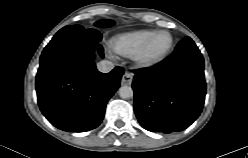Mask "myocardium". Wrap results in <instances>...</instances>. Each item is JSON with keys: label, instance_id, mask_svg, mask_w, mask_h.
<instances>
[{"label": "myocardium", "instance_id": "obj_1", "mask_svg": "<svg viewBox=\"0 0 248 158\" xmlns=\"http://www.w3.org/2000/svg\"><path fill=\"white\" fill-rule=\"evenodd\" d=\"M159 34H167L169 36V43L167 47L159 53H151V44L156 36ZM173 35L168 30L154 31L148 38L142 49L135 55L136 62L142 67H151L162 61L171 51L173 47Z\"/></svg>", "mask_w": 248, "mask_h": 158}]
</instances>
